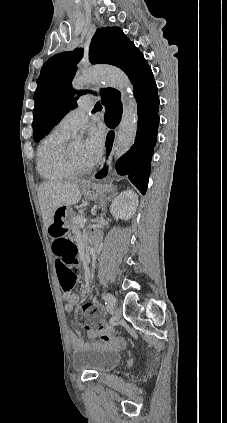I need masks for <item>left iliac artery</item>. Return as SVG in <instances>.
Instances as JSON below:
<instances>
[{
    "label": "left iliac artery",
    "mask_w": 227,
    "mask_h": 423,
    "mask_svg": "<svg viewBox=\"0 0 227 423\" xmlns=\"http://www.w3.org/2000/svg\"><path fill=\"white\" fill-rule=\"evenodd\" d=\"M105 304L107 305V310H112V308L110 307L112 304L115 303V298L112 294L107 293L104 297H103Z\"/></svg>",
    "instance_id": "1"
}]
</instances>
